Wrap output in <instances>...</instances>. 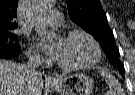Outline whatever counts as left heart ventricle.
Segmentation results:
<instances>
[{
    "label": "left heart ventricle",
    "mask_w": 135,
    "mask_h": 95,
    "mask_svg": "<svg viewBox=\"0 0 135 95\" xmlns=\"http://www.w3.org/2000/svg\"><path fill=\"white\" fill-rule=\"evenodd\" d=\"M49 29H56L49 25ZM62 46L58 61L67 65L83 64L93 59L95 52L90 41L83 36L62 38Z\"/></svg>",
    "instance_id": "1"
}]
</instances>
